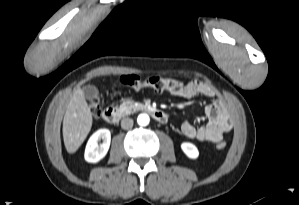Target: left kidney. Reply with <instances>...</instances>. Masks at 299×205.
<instances>
[{
  "label": "left kidney",
  "mask_w": 299,
  "mask_h": 205,
  "mask_svg": "<svg viewBox=\"0 0 299 205\" xmlns=\"http://www.w3.org/2000/svg\"><path fill=\"white\" fill-rule=\"evenodd\" d=\"M182 151L186 154L187 157L191 159H196L199 155L197 147L189 142H184L181 144Z\"/></svg>",
  "instance_id": "1"
}]
</instances>
